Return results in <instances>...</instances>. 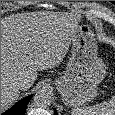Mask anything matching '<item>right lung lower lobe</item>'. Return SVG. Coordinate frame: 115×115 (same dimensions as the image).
<instances>
[{"label": "right lung lower lobe", "mask_w": 115, "mask_h": 115, "mask_svg": "<svg viewBox=\"0 0 115 115\" xmlns=\"http://www.w3.org/2000/svg\"><path fill=\"white\" fill-rule=\"evenodd\" d=\"M33 95L27 96L16 103L11 109L1 115H24L27 104Z\"/></svg>", "instance_id": "obj_1"}]
</instances>
